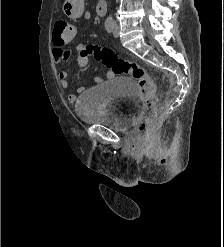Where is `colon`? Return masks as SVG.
Segmentation results:
<instances>
[{"mask_svg": "<svg viewBox=\"0 0 224 247\" xmlns=\"http://www.w3.org/2000/svg\"><path fill=\"white\" fill-rule=\"evenodd\" d=\"M76 35V26L63 19L55 21L53 28L54 40L71 42ZM78 53L82 60L92 56L114 74H128L136 81L144 105L142 116L136 125V131L140 134L145 133L156 111V87L145 69L135 62L120 58L111 49L97 45L84 46Z\"/></svg>", "mask_w": 224, "mask_h": 247, "instance_id": "colon-1", "label": "colon"}]
</instances>
